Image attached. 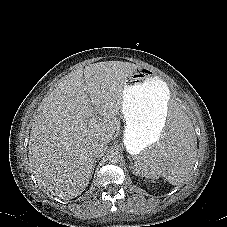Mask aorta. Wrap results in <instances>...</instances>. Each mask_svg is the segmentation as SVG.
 I'll return each instance as SVG.
<instances>
[{"label":"aorta","mask_w":227,"mask_h":227,"mask_svg":"<svg viewBox=\"0 0 227 227\" xmlns=\"http://www.w3.org/2000/svg\"><path fill=\"white\" fill-rule=\"evenodd\" d=\"M120 154L118 152H112L110 155H109V161L112 162V163H117L120 161Z\"/></svg>","instance_id":"obj_1"}]
</instances>
